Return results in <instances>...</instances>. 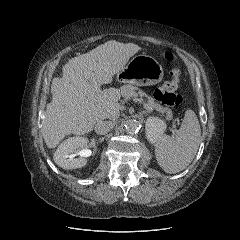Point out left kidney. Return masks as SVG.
<instances>
[{
    "label": "left kidney",
    "instance_id": "1",
    "mask_svg": "<svg viewBox=\"0 0 240 240\" xmlns=\"http://www.w3.org/2000/svg\"><path fill=\"white\" fill-rule=\"evenodd\" d=\"M146 137L152 144L157 143L166 130V123L158 117H148L145 124Z\"/></svg>",
    "mask_w": 240,
    "mask_h": 240
}]
</instances>
